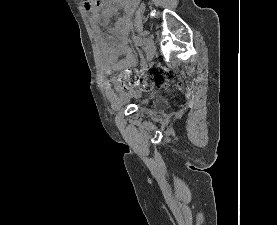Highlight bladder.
Returning <instances> with one entry per match:
<instances>
[{
  "instance_id": "obj_1",
  "label": "bladder",
  "mask_w": 277,
  "mask_h": 225,
  "mask_svg": "<svg viewBox=\"0 0 277 225\" xmlns=\"http://www.w3.org/2000/svg\"><path fill=\"white\" fill-rule=\"evenodd\" d=\"M131 102H135L137 105H140L142 102V94L138 91H132L125 96L120 104L123 106Z\"/></svg>"
}]
</instances>
